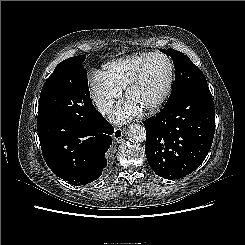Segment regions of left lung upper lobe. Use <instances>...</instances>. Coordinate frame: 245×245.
<instances>
[{"mask_svg": "<svg viewBox=\"0 0 245 245\" xmlns=\"http://www.w3.org/2000/svg\"><path fill=\"white\" fill-rule=\"evenodd\" d=\"M160 51L173 59L175 67V83L166 105L194 88L207 86L204 74L188 56L174 49H160Z\"/></svg>", "mask_w": 245, "mask_h": 245, "instance_id": "5c2ea615", "label": "left lung upper lobe"}]
</instances>
